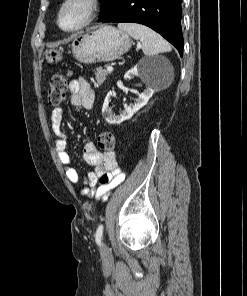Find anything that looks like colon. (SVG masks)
<instances>
[{"label": "colon", "instance_id": "1", "mask_svg": "<svg viewBox=\"0 0 247 296\" xmlns=\"http://www.w3.org/2000/svg\"><path fill=\"white\" fill-rule=\"evenodd\" d=\"M69 78V73H58L52 76L47 89V101L51 106H59L66 97V88ZM116 139L111 131H104L99 135L98 146L107 153H112L115 150ZM109 177L107 175L101 178L102 183H106Z\"/></svg>", "mask_w": 247, "mask_h": 296}]
</instances>
